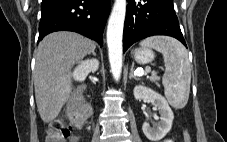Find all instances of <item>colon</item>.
<instances>
[{
  "instance_id": "colon-1",
  "label": "colon",
  "mask_w": 227,
  "mask_h": 142,
  "mask_svg": "<svg viewBox=\"0 0 227 142\" xmlns=\"http://www.w3.org/2000/svg\"><path fill=\"white\" fill-rule=\"evenodd\" d=\"M87 117L85 110L76 109L70 113L71 124L62 119L50 123L46 142H65L71 138L73 126H81ZM185 142H191V135L188 131L184 133Z\"/></svg>"
}]
</instances>
